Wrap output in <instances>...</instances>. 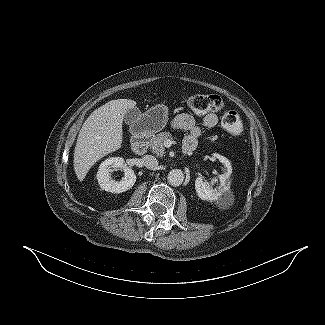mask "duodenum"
Masks as SVG:
<instances>
[{"label":"duodenum","mask_w":325,"mask_h":325,"mask_svg":"<svg viewBox=\"0 0 325 325\" xmlns=\"http://www.w3.org/2000/svg\"><path fill=\"white\" fill-rule=\"evenodd\" d=\"M149 139H150V134L148 133L136 134L133 137V141H132L133 152L136 154L145 153L148 148ZM193 150L194 148L190 146L183 147L184 154H190Z\"/></svg>","instance_id":"duodenum-1"}]
</instances>
